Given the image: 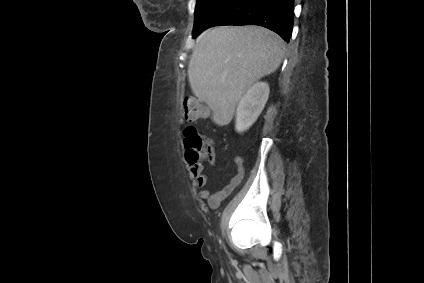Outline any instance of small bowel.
Here are the masks:
<instances>
[{"label": "small bowel", "mask_w": 424, "mask_h": 283, "mask_svg": "<svg viewBox=\"0 0 424 283\" xmlns=\"http://www.w3.org/2000/svg\"><path fill=\"white\" fill-rule=\"evenodd\" d=\"M187 166L190 174L192 175L194 185L199 188H203L208 183V177L204 173V167L200 162H191L187 156ZM235 173L230 179L229 183L225 185L221 190L212 192L209 189H202L199 191V197L206 200L211 208H217L221 202L228 197L242 182L245 174L244 160L240 156L234 158Z\"/></svg>", "instance_id": "small-bowel-1"}]
</instances>
